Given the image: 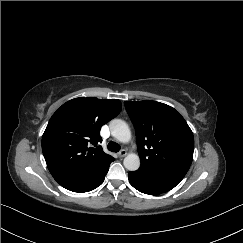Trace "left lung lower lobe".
I'll use <instances>...</instances> for the list:
<instances>
[{
  "label": "left lung lower lobe",
  "mask_w": 243,
  "mask_h": 243,
  "mask_svg": "<svg viewBox=\"0 0 243 243\" xmlns=\"http://www.w3.org/2000/svg\"><path fill=\"white\" fill-rule=\"evenodd\" d=\"M190 166L169 165L155 169L129 172L130 184L138 191L158 195L174 188L185 176Z\"/></svg>",
  "instance_id": "1"
}]
</instances>
